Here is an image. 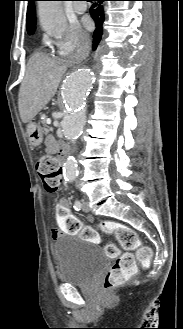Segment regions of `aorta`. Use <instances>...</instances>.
<instances>
[{"label":"aorta","mask_w":183,"mask_h":329,"mask_svg":"<svg viewBox=\"0 0 183 329\" xmlns=\"http://www.w3.org/2000/svg\"><path fill=\"white\" fill-rule=\"evenodd\" d=\"M39 19L41 27L54 37L62 36L68 26L60 1H40ZM95 79L96 75L91 68L79 67L69 74L64 83L62 102L65 113L62 120V132L64 137L73 143L79 138L84 128L86 100L95 86ZM77 174L76 160L70 156L64 163V179L73 182Z\"/></svg>","instance_id":"obj_1"}]
</instances>
